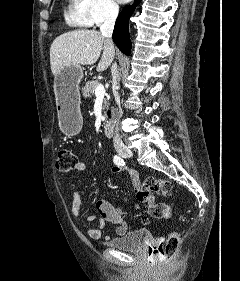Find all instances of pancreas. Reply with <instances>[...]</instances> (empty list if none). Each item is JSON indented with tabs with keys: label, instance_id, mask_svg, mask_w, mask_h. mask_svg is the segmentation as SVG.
Listing matches in <instances>:
<instances>
[{
	"label": "pancreas",
	"instance_id": "obj_1",
	"mask_svg": "<svg viewBox=\"0 0 240 281\" xmlns=\"http://www.w3.org/2000/svg\"><path fill=\"white\" fill-rule=\"evenodd\" d=\"M99 85V82L97 80L94 81H88L85 86L82 88V95L85 98L91 97L95 93L96 87ZM108 99H104V106L103 108L106 109L109 107Z\"/></svg>",
	"mask_w": 240,
	"mask_h": 281
}]
</instances>
